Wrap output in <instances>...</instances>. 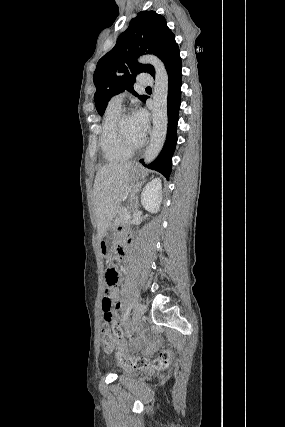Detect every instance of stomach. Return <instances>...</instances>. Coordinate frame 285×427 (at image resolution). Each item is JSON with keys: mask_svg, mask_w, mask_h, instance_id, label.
<instances>
[{"mask_svg": "<svg viewBox=\"0 0 285 427\" xmlns=\"http://www.w3.org/2000/svg\"><path fill=\"white\" fill-rule=\"evenodd\" d=\"M141 175H142V170L139 168V166L132 164V166L130 167V181L131 182L138 181ZM113 238H114V233L111 229H109L104 234V236L100 239L99 246L104 256H107L110 254L113 248Z\"/></svg>", "mask_w": 285, "mask_h": 427, "instance_id": "1", "label": "stomach"}]
</instances>
